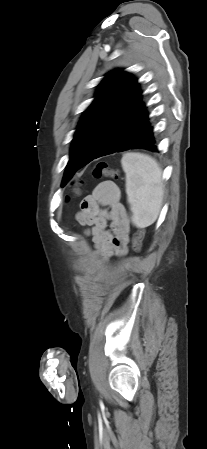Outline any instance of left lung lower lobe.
<instances>
[{
	"instance_id": "0a47b994",
	"label": "left lung lower lobe",
	"mask_w": 207,
	"mask_h": 449,
	"mask_svg": "<svg viewBox=\"0 0 207 449\" xmlns=\"http://www.w3.org/2000/svg\"><path fill=\"white\" fill-rule=\"evenodd\" d=\"M157 152V143L143 103L126 115L109 133L94 159L129 149Z\"/></svg>"
}]
</instances>
